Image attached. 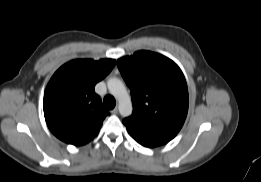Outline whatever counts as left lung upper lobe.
Segmentation results:
<instances>
[{
    "label": "left lung upper lobe",
    "instance_id": "1",
    "mask_svg": "<svg viewBox=\"0 0 261 182\" xmlns=\"http://www.w3.org/2000/svg\"><path fill=\"white\" fill-rule=\"evenodd\" d=\"M131 90L132 116L125 118L128 133L140 144L159 146L180 131L188 112L185 77L171 59L150 51H138L117 61Z\"/></svg>",
    "mask_w": 261,
    "mask_h": 182
}]
</instances>
